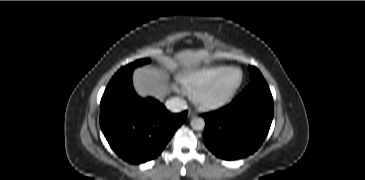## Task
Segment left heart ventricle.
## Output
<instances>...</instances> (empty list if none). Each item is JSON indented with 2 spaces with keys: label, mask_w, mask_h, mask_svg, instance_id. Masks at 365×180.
<instances>
[{
  "label": "left heart ventricle",
  "mask_w": 365,
  "mask_h": 180,
  "mask_svg": "<svg viewBox=\"0 0 365 180\" xmlns=\"http://www.w3.org/2000/svg\"><path fill=\"white\" fill-rule=\"evenodd\" d=\"M240 79L238 71H229L221 76L206 94L208 99H220L229 94Z\"/></svg>",
  "instance_id": "obj_1"
}]
</instances>
